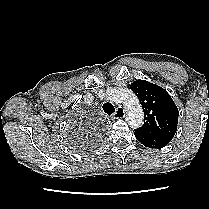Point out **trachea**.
I'll return each instance as SVG.
<instances>
[{
	"label": "trachea",
	"mask_w": 209,
	"mask_h": 209,
	"mask_svg": "<svg viewBox=\"0 0 209 209\" xmlns=\"http://www.w3.org/2000/svg\"><path fill=\"white\" fill-rule=\"evenodd\" d=\"M102 109L109 116L115 112V108L110 102L104 103Z\"/></svg>",
	"instance_id": "obj_1"
}]
</instances>
